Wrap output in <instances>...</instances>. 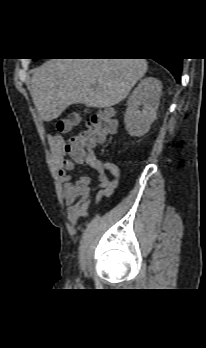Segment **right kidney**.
<instances>
[{
  "label": "right kidney",
  "instance_id": "right-kidney-1",
  "mask_svg": "<svg viewBox=\"0 0 206 348\" xmlns=\"http://www.w3.org/2000/svg\"><path fill=\"white\" fill-rule=\"evenodd\" d=\"M161 93L162 84L154 77L142 79L133 90L124 116L126 130L131 136H142L148 132L156 120Z\"/></svg>",
  "mask_w": 206,
  "mask_h": 348
}]
</instances>
